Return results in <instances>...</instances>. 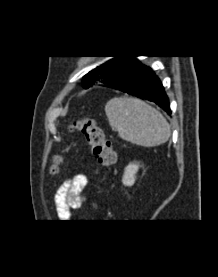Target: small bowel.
<instances>
[{
  "label": "small bowel",
  "instance_id": "small-bowel-1",
  "mask_svg": "<svg viewBox=\"0 0 218 277\" xmlns=\"http://www.w3.org/2000/svg\"><path fill=\"white\" fill-rule=\"evenodd\" d=\"M88 179L84 174H77L65 181L55 195L57 215L61 219H68L71 210L79 208L85 200L84 190Z\"/></svg>",
  "mask_w": 218,
  "mask_h": 277
}]
</instances>
